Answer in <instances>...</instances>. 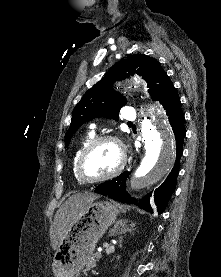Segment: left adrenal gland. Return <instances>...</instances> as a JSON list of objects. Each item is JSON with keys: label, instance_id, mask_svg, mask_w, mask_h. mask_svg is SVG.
Listing matches in <instances>:
<instances>
[{"label": "left adrenal gland", "instance_id": "1", "mask_svg": "<svg viewBox=\"0 0 221 277\" xmlns=\"http://www.w3.org/2000/svg\"><path fill=\"white\" fill-rule=\"evenodd\" d=\"M130 228L127 225V220H120L116 222L113 228L109 231V236L125 234L126 232H131L135 227V224L132 222Z\"/></svg>", "mask_w": 221, "mask_h": 277}]
</instances>
